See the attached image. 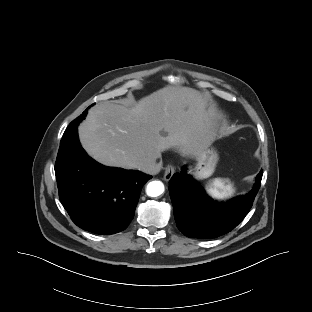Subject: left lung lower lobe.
I'll return each instance as SVG.
<instances>
[{"instance_id": "0a47b994", "label": "left lung lower lobe", "mask_w": 312, "mask_h": 312, "mask_svg": "<svg viewBox=\"0 0 312 312\" xmlns=\"http://www.w3.org/2000/svg\"><path fill=\"white\" fill-rule=\"evenodd\" d=\"M262 170L256 177L253 189L225 203L210 199L203 188L189 175L183 166L173 175L169 192L174 207L178 229L189 238H216L234 229L252 207L260 188Z\"/></svg>"}]
</instances>
